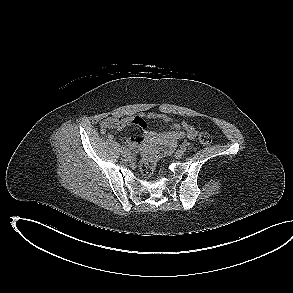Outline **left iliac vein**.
<instances>
[{
    "instance_id": "obj_1",
    "label": "left iliac vein",
    "mask_w": 293,
    "mask_h": 293,
    "mask_svg": "<svg viewBox=\"0 0 293 293\" xmlns=\"http://www.w3.org/2000/svg\"><path fill=\"white\" fill-rule=\"evenodd\" d=\"M183 154H184V152L181 149L177 150L176 153H175V157L177 159H180V158H182Z\"/></svg>"
}]
</instances>
